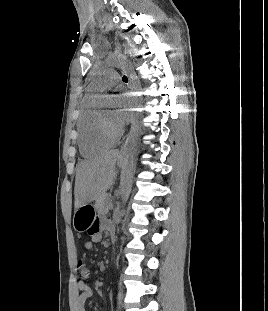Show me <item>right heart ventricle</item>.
Wrapping results in <instances>:
<instances>
[{
    "label": "right heart ventricle",
    "mask_w": 268,
    "mask_h": 311,
    "mask_svg": "<svg viewBox=\"0 0 268 311\" xmlns=\"http://www.w3.org/2000/svg\"><path fill=\"white\" fill-rule=\"evenodd\" d=\"M77 129L79 150L85 157L101 153L115 142L102 132L100 112L93 105V95H88L82 102L77 119Z\"/></svg>",
    "instance_id": "1"
}]
</instances>
